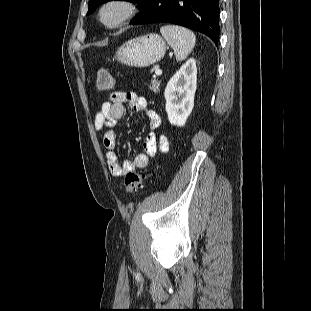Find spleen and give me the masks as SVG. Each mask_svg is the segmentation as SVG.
<instances>
[{"label":"spleen","instance_id":"1","mask_svg":"<svg viewBox=\"0 0 311 311\" xmlns=\"http://www.w3.org/2000/svg\"><path fill=\"white\" fill-rule=\"evenodd\" d=\"M160 32L174 50L177 61L186 59L195 46L194 33L184 27L166 25L160 28Z\"/></svg>","mask_w":311,"mask_h":311}]
</instances>
